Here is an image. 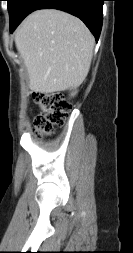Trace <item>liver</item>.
I'll return each mask as SVG.
<instances>
[{"label": "liver", "instance_id": "obj_1", "mask_svg": "<svg viewBox=\"0 0 133 253\" xmlns=\"http://www.w3.org/2000/svg\"><path fill=\"white\" fill-rule=\"evenodd\" d=\"M15 44L27 68L30 89L54 93L83 82L95 40L77 17L48 9L33 12L20 24Z\"/></svg>", "mask_w": 133, "mask_h": 253}]
</instances>
